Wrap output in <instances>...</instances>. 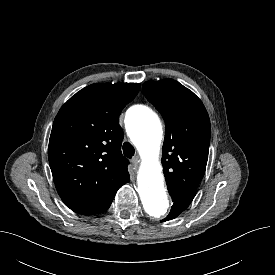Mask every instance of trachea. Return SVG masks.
<instances>
[{
    "mask_svg": "<svg viewBox=\"0 0 275 275\" xmlns=\"http://www.w3.org/2000/svg\"><path fill=\"white\" fill-rule=\"evenodd\" d=\"M123 153L126 157L131 158L135 154V149L129 142H125L123 144Z\"/></svg>",
    "mask_w": 275,
    "mask_h": 275,
    "instance_id": "1",
    "label": "trachea"
}]
</instances>
